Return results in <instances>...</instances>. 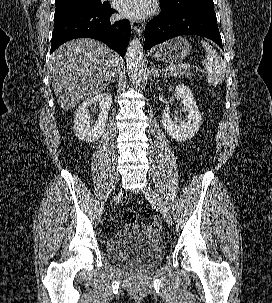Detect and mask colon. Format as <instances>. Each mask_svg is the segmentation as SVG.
I'll return each mask as SVG.
<instances>
[{"mask_svg":"<svg viewBox=\"0 0 272 303\" xmlns=\"http://www.w3.org/2000/svg\"><path fill=\"white\" fill-rule=\"evenodd\" d=\"M137 221V214L131 209H127L122 214V222L124 224H134Z\"/></svg>","mask_w":272,"mask_h":303,"instance_id":"1","label":"colon"}]
</instances>
